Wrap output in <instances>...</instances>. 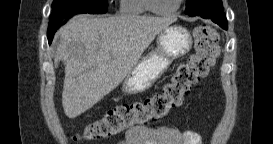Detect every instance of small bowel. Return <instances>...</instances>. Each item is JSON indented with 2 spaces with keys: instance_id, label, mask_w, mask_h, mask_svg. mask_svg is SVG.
Masks as SVG:
<instances>
[{
  "instance_id": "1",
  "label": "small bowel",
  "mask_w": 273,
  "mask_h": 144,
  "mask_svg": "<svg viewBox=\"0 0 273 144\" xmlns=\"http://www.w3.org/2000/svg\"><path fill=\"white\" fill-rule=\"evenodd\" d=\"M201 136L194 131L174 127L132 128L116 144H201Z\"/></svg>"
}]
</instances>
